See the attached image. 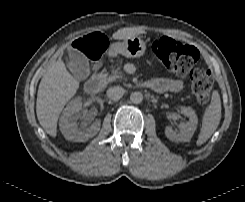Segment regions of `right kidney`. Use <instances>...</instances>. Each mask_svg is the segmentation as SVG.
<instances>
[{
    "mask_svg": "<svg viewBox=\"0 0 245 202\" xmlns=\"http://www.w3.org/2000/svg\"><path fill=\"white\" fill-rule=\"evenodd\" d=\"M81 107V98H76L69 102L60 117V130L67 140L75 142L87 141L94 137L100 130V121L94 122L89 127H87V121L80 127L78 126L76 114L81 110Z\"/></svg>",
    "mask_w": 245,
    "mask_h": 202,
    "instance_id": "obj_1",
    "label": "right kidney"
}]
</instances>
